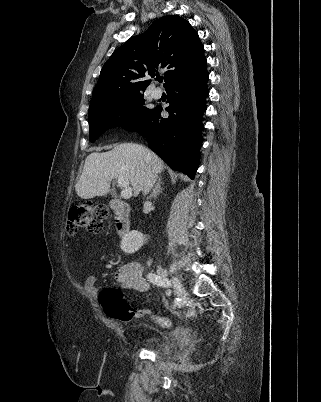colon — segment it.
Listing matches in <instances>:
<instances>
[{"label": "colon", "mask_w": 321, "mask_h": 402, "mask_svg": "<svg viewBox=\"0 0 321 402\" xmlns=\"http://www.w3.org/2000/svg\"><path fill=\"white\" fill-rule=\"evenodd\" d=\"M109 216V211L102 206L92 203H77L70 207L66 221V229L70 235H75L79 229L90 233L101 230L103 221ZM99 303L104 313L111 319L129 321L135 314L126 295L118 288L106 287L99 295ZM143 314V313H140ZM158 321L168 325L166 318L160 317Z\"/></svg>", "instance_id": "colon-1"}]
</instances>
